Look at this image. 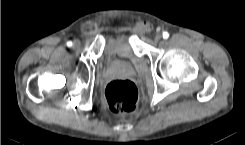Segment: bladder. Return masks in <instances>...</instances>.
Listing matches in <instances>:
<instances>
[{
    "instance_id": "bladder-1",
    "label": "bladder",
    "mask_w": 245,
    "mask_h": 145,
    "mask_svg": "<svg viewBox=\"0 0 245 145\" xmlns=\"http://www.w3.org/2000/svg\"><path fill=\"white\" fill-rule=\"evenodd\" d=\"M103 57L109 62L119 60L129 64H135L138 59L131 39L128 36L112 40L107 45Z\"/></svg>"
}]
</instances>
